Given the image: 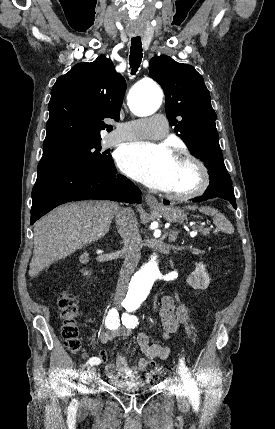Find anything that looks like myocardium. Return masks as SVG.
<instances>
[{
    "instance_id": "obj_1",
    "label": "myocardium",
    "mask_w": 275,
    "mask_h": 429,
    "mask_svg": "<svg viewBox=\"0 0 275 429\" xmlns=\"http://www.w3.org/2000/svg\"><path fill=\"white\" fill-rule=\"evenodd\" d=\"M177 159L192 163L199 173V181L197 186L191 191L184 193L166 192V196L177 201H187L203 195L210 185V174L204 162L190 152H180Z\"/></svg>"
}]
</instances>
